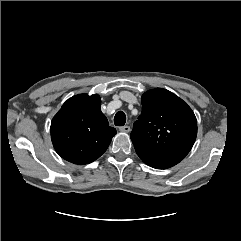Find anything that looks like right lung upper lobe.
I'll use <instances>...</instances> for the list:
<instances>
[{
	"label": "right lung upper lobe",
	"mask_w": 241,
	"mask_h": 241,
	"mask_svg": "<svg viewBox=\"0 0 241 241\" xmlns=\"http://www.w3.org/2000/svg\"><path fill=\"white\" fill-rule=\"evenodd\" d=\"M99 95L79 94L68 99L51 123V139L65 160L84 165L95 161L108 148L116 129L101 112Z\"/></svg>",
	"instance_id": "1"
}]
</instances>
